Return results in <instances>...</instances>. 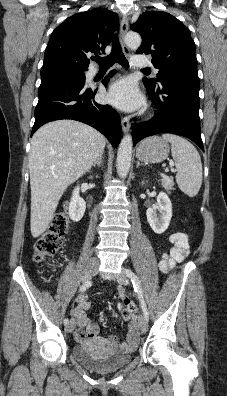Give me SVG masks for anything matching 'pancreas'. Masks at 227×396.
<instances>
[{
	"label": "pancreas",
	"instance_id": "pancreas-1",
	"mask_svg": "<svg viewBox=\"0 0 227 396\" xmlns=\"http://www.w3.org/2000/svg\"><path fill=\"white\" fill-rule=\"evenodd\" d=\"M162 186L168 192H170L171 190H174V188H173V186H174L173 178L164 177L162 179Z\"/></svg>",
	"mask_w": 227,
	"mask_h": 396
}]
</instances>
